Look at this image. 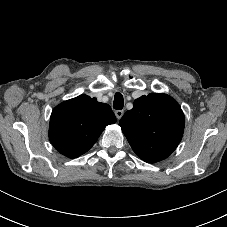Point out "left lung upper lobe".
Returning <instances> with one entry per match:
<instances>
[{"label": "left lung upper lobe", "instance_id": "left-lung-upper-lobe-1", "mask_svg": "<svg viewBox=\"0 0 227 227\" xmlns=\"http://www.w3.org/2000/svg\"><path fill=\"white\" fill-rule=\"evenodd\" d=\"M184 114L166 94L151 93L134 101L119 125L133 151L145 162L167 158L178 146L184 131Z\"/></svg>", "mask_w": 227, "mask_h": 227}]
</instances>
